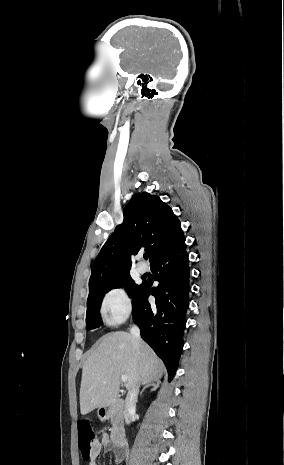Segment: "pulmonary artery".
Returning <instances> with one entry per match:
<instances>
[{"instance_id": "1", "label": "pulmonary artery", "mask_w": 284, "mask_h": 465, "mask_svg": "<svg viewBox=\"0 0 284 465\" xmlns=\"http://www.w3.org/2000/svg\"><path fill=\"white\" fill-rule=\"evenodd\" d=\"M136 270H137V272H138L139 274H144V273L146 272L147 268H146V266H145L143 263L138 262V263L136 264Z\"/></svg>"}]
</instances>
